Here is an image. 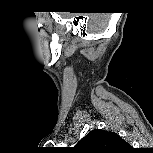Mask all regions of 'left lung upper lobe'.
Listing matches in <instances>:
<instances>
[{
  "label": "left lung upper lobe",
  "instance_id": "5c2ea615",
  "mask_svg": "<svg viewBox=\"0 0 153 153\" xmlns=\"http://www.w3.org/2000/svg\"><path fill=\"white\" fill-rule=\"evenodd\" d=\"M128 146L116 133L97 129L83 137L74 149L81 153H117Z\"/></svg>",
  "mask_w": 153,
  "mask_h": 153
}]
</instances>
